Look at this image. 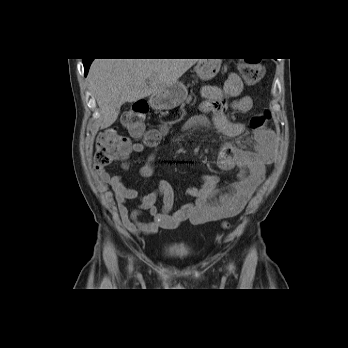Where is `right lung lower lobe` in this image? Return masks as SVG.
<instances>
[{"label":"right lung lower lobe","mask_w":348,"mask_h":348,"mask_svg":"<svg viewBox=\"0 0 348 348\" xmlns=\"http://www.w3.org/2000/svg\"><path fill=\"white\" fill-rule=\"evenodd\" d=\"M93 59H83L84 69H85V75L87 74V71L89 69V66L91 64Z\"/></svg>","instance_id":"right-lung-lower-lobe-1"}]
</instances>
